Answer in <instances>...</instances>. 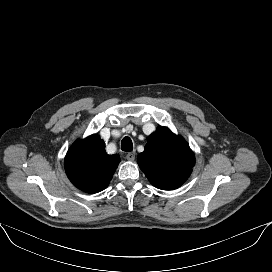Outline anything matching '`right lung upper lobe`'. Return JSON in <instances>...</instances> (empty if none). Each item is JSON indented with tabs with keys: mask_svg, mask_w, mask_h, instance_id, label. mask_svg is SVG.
Masks as SVG:
<instances>
[{
	"mask_svg": "<svg viewBox=\"0 0 272 272\" xmlns=\"http://www.w3.org/2000/svg\"><path fill=\"white\" fill-rule=\"evenodd\" d=\"M120 162L118 155H108L104 141L96 134L75 141L65 157V171L78 189L97 193L111 181Z\"/></svg>",
	"mask_w": 272,
	"mask_h": 272,
	"instance_id": "obj_1",
	"label": "right lung upper lobe"
}]
</instances>
